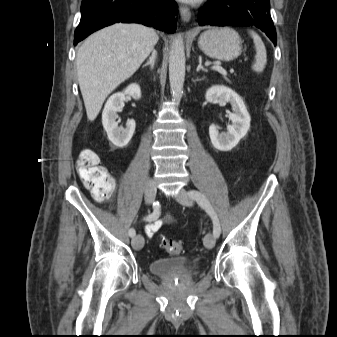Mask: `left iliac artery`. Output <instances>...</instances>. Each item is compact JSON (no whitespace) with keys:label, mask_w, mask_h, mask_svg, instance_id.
Returning <instances> with one entry per match:
<instances>
[{"label":"left iliac artery","mask_w":337,"mask_h":337,"mask_svg":"<svg viewBox=\"0 0 337 337\" xmlns=\"http://www.w3.org/2000/svg\"><path fill=\"white\" fill-rule=\"evenodd\" d=\"M189 196L192 197L210 215L213 221V234L215 238H218L221 233V227H220L218 217L215 211L213 210L212 206L210 205L209 201L206 199V197L203 194H201L200 192L196 190L189 191Z\"/></svg>","instance_id":"1"}]
</instances>
